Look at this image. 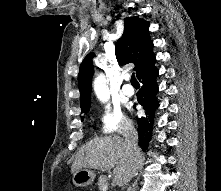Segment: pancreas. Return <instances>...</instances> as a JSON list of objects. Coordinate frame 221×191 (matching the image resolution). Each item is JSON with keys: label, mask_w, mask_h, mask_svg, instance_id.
<instances>
[{"label": "pancreas", "mask_w": 221, "mask_h": 191, "mask_svg": "<svg viewBox=\"0 0 221 191\" xmlns=\"http://www.w3.org/2000/svg\"><path fill=\"white\" fill-rule=\"evenodd\" d=\"M108 185V179L105 175H101L98 179V188L103 191V188Z\"/></svg>", "instance_id": "obj_1"}]
</instances>
